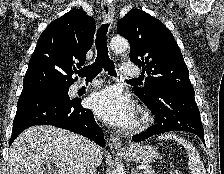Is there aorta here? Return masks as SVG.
Segmentation results:
<instances>
[{
    "label": "aorta",
    "mask_w": 224,
    "mask_h": 174,
    "mask_svg": "<svg viewBox=\"0 0 224 174\" xmlns=\"http://www.w3.org/2000/svg\"><path fill=\"white\" fill-rule=\"evenodd\" d=\"M110 46L115 53L121 54L127 51V49L129 48V43L123 37H115L111 40ZM114 174H125L123 164L120 163L117 165Z\"/></svg>",
    "instance_id": "obj_1"
}]
</instances>
